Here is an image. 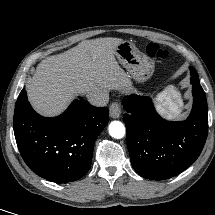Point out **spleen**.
I'll list each match as a JSON object with an SVG mask.
<instances>
[{
  "label": "spleen",
  "mask_w": 215,
  "mask_h": 215,
  "mask_svg": "<svg viewBox=\"0 0 215 215\" xmlns=\"http://www.w3.org/2000/svg\"><path fill=\"white\" fill-rule=\"evenodd\" d=\"M176 99L175 101L173 100ZM159 100L162 103L163 107H160L163 113H167V109L179 113L180 106L182 105V101L178 98V94L172 89L169 88L165 92L159 95Z\"/></svg>",
  "instance_id": "3e777b00"
}]
</instances>
